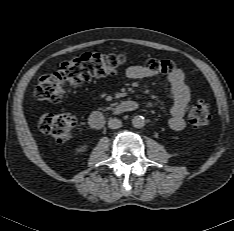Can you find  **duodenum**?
Returning <instances> with one entry per match:
<instances>
[{"label": "duodenum", "instance_id": "410a0bca", "mask_svg": "<svg viewBox=\"0 0 234 231\" xmlns=\"http://www.w3.org/2000/svg\"><path fill=\"white\" fill-rule=\"evenodd\" d=\"M137 109V103L135 101L126 100L119 103L114 109L113 113L116 115H122L126 113L134 112ZM88 123L93 129H101L105 124V117L101 112H94L88 118Z\"/></svg>", "mask_w": 234, "mask_h": 231}]
</instances>
